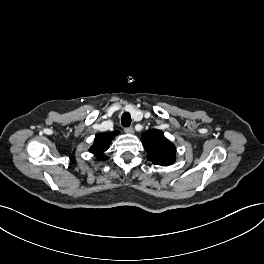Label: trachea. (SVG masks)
<instances>
[{
  "label": "trachea",
  "mask_w": 264,
  "mask_h": 264,
  "mask_svg": "<svg viewBox=\"0 0 264 264\" xmlns=\"http://www.w3.org/2000/svg\"><path fill=\"white\" fill-rule=\"evenodd\" d=\"M121 124L123 127H129L131 124V115L128 112L123 113L121 117Z\"/></svg>",
  "instance_id": "trachea-1"
}]
</instances>
